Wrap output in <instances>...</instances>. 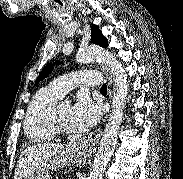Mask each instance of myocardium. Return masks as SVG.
I'll return each mask as SVG.
<instances>
[{"label": "myocardium", "mask_w": 183, "mask_h": 179, "mask_svg": "<svg viewBox=\"0 0 183 179\" xmlns=\"http://www.w3.org/2000/svg\"><path fill=\"white\" fill-rule=\"evenodd\" d=\"M59 104H56L55 107L53 108L52 114H51V125L52 128L55 132V134H60V135H70L71 131H68L62 127L59 121Z\"/></svg>", "instance_id": "1"}]
</instances>
